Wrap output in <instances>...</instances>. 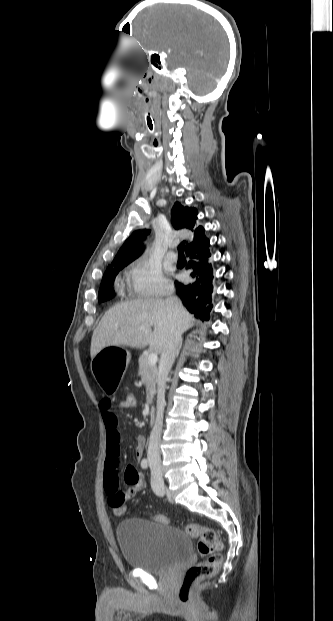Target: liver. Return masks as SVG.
I'll return each mask as SVG.
<instances>
[{
    "mask_svg": "<svg viewBox=\"0 0 333 621\" xmlns=\"http://www.w3.org/2000/svg\"><path fill=\"white\" fill-rule=\"evenodd\" d=\"M168 314V305L162 299H138L115 305L93 332L91 358L108 346L142 349L149 345L156 353H162L170 326ZM177 321L182 331H186L195 320L181 305Z\"/></svg>",
    "mask_w": 333,
    "mask_h": 621,
    "instance_id": "6515ba94",
    "label": "liver"
}]
</instances>
